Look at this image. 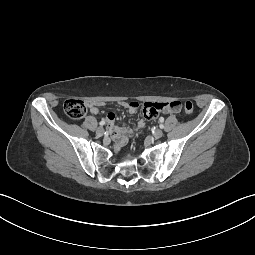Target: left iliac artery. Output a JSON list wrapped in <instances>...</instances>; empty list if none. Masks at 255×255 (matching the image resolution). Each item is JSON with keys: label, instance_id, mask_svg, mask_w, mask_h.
Segmentation results:
<instances>
[{"label": "left iliac artery", "instance_id": "1", "mask_svg": "<svg viewBox=\"0 0 255 255\" xmlns=\"http://www.w3.org/2000/svg\"><path fill=\"white\" fill-rule=\"evenodd\" d=\"M160 128H164V126L161 124V125H160Z\"/></svg>", "mask_w": 255, "mask_h": 255}]
</instances>
